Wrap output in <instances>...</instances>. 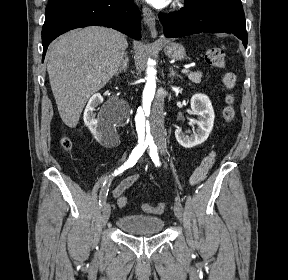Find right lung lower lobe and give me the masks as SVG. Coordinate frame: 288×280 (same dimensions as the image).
Segmentation results:
<instances>
[{"label":"right lung lower lobe","mask_w":288,"mask_h":280,"mask_svg":"<svg viewBox=\"0 0 288 280\" xmlns=\"http://www.w3.org/2000/svg\"><path fill=\"white\" fill-rule=\"evenodd\" d=\"M91 25L111 27L134 39L141 38V15L133 0H49L42 28V60L56 37Z\"/></svg>","instance_id":"right-lung-lower-lobe-1"}]
</instances>
